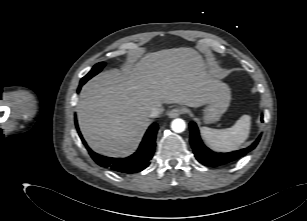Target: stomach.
Instances as JSON below:
<instances>
[{
    "instance_id": "obj_1",
    "label": "stomach",
    "mask_w": 307,
    "mask_h": 221,
    "mask_svg": "<svg viewBox=\"0 0 307 221\" xmlns=\"http://www.w3.org/2000/svg\"><path fill=\"white\" fill-rule=\"evenodd\" d=\"M230 100V88L226 84L220 83L214 98L210 100L203 109L204 121L206 123L218 121L226 112Z\"/></svg>"
}]
</instances>
